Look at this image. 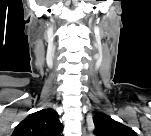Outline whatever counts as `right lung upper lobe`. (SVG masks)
I'll list each match as a JSON object with an SVG mask.
<instances>
[{
    "mask_svg": "<svg viewBox=\"0 0 151 136\" xmlns=\"http://www.w3.org/2000/svg\"><path fill=\"white\" fill-rule=\"evenodd\" d=\"M63 126L57 112L43 109L28 115L15 128L14 136H61Z\"/></svg>",
    "mask_w": 151,
    "mask_h": 136,
    "instance_id": "obj_1",
    "label": "right lung upper lobe"
}]
</instances>
